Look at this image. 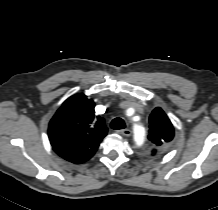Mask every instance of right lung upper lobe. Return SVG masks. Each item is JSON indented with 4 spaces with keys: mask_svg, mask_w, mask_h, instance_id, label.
<instances>
[{
    "mask_svg": "<svg viewBox=\"0 0 218 210\" xmlns=\"http://www.w3.org/2000/svg\"><path fill=\"white\" fill-rule=\"evenodd\" d=\"M95 104L86 95L69 97L49 123L53 148L79 154H94L107 134L104 119L94 115Z\"/></svg>",
    "mask_w": 218,
    "mask_h": 210,
    "instance_id": "cb5924a9",
    "label": "right lung upper lobe"
}]
</instances>
